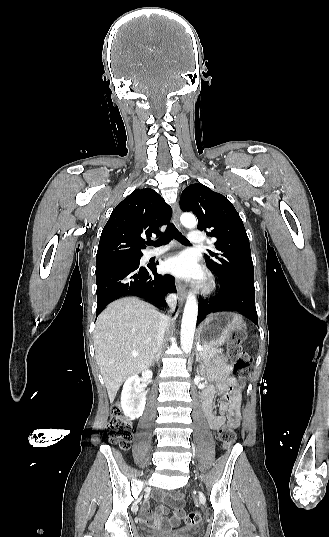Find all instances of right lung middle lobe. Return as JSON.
Returning <instances> with one entry per match:
<instances>
[{"mask_svg": "<svg viewBox=\"0 0 329 537\" xmlns=\"http://www.w3.org/2000/svg\"><path fill=\"white\" fill-rule=\"evenodd\" d=\"M140 258L141 257H136V258H131V259H124V260H119V262H127V261L140 262Z\"/></svg>", "mask_w": 329, "mask_h": 537, "instance_id": "1", "label": "right lung middle lobe"}]
</instances>
